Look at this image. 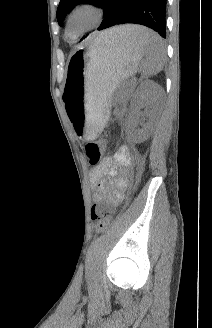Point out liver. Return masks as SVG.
Listing matches in <instances>:
<instances>
[{"mask_svg":"<svg viewBox=\"0 0 212 328\" xmlns=\"http://www.w3.org/2000/svg\"><path fill=\"white\" fill-rule=\"evenodd\" d=\"M134 30V26L126 25L114 27L112 29L101 32L95 40H107V39H124L131 40L132 32Z\"/></svg>","mask_w":212,"mask_h":328,"instance_id":"1","label":"liver"}]
</instances>
